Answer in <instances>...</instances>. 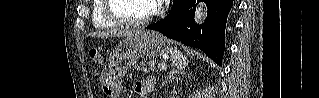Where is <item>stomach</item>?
I'll list each match as a JSON object with an SVG mask.
<instances>
[{
	"mask_svg": "<svg viewBox=\"0 0 319 98\" xmlns=\"http://www.w3.org/2000/svg\"><path fill=\"white\" fill-rule=\"evenodd\" d=\"M168 50L166 39L154 31H139L126 36L113 52L102 77V91L116 98L122 89V79L133 62L140 58H155Z\"/></svg>",
	"mask_w": 319,
	"mask_h": 98,
	"instance_id": "stomach-1",
	"label": "stomach"
}]
</instances>
